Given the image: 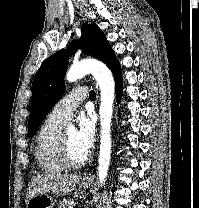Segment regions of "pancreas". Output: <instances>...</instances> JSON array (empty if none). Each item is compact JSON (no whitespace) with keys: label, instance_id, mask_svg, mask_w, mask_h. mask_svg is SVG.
Here are the masks:
<instances>
[{"label":"pancreas","instance_id":"pancreas-1","mask_svg":"<svg viewBox=\"0 0 199 208\" xmlns=\"http://www.w3.org/2000/svg\"><path fill=\"white\" fill-rule=\"evenodd\" d=\"M70 203L71 199H64L57 205V208H71Z\"/></svg>","mask_w":199,"mask_h":208}]
</instances>
